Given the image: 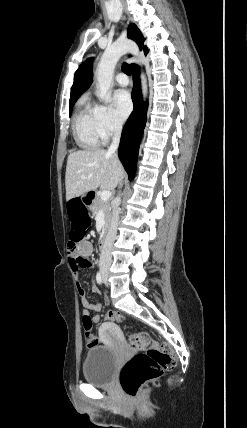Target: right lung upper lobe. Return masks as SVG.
<instances>
[{"mask_svg": "<svg viewBox=\"0 0 247 428\" xmlns=\"http://www.w3.org/2000/svg\"><path fill=\"white\" fill-rule=\"evenodd\" d=\"M128 37L134 40L140 50L144 49L145 55L148 53V48L144 46V37L141 34L140 30L137 28L135 24H130L128 28ZM137 65L131 64V67H135ZM93 73H92V60H87L84 64H82L75 73L74 83L71 88L70 95V104H75L80 95L88 89V87L92 83Z\"/></svg>", "mask_w": 247, "mask_h": 428, "instance_id": "right-lung-upper-lobe-1", "label": "right lung upper lobe"}]
</instances>
